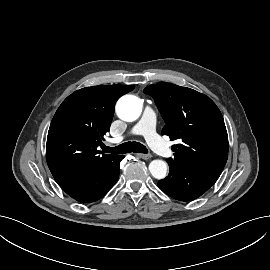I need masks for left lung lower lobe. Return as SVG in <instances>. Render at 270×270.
Segmentation results:
<instances>
[{"label": "left lung lower lobe", "mask_w": 270, "mask_h": 270, "mask_svg": "<svg viewBox=\"0 0 270 270\" xmlns=\"http://www.w3.org/2000/svg\"><path fill=\"white\" fill-rule=\"evenodd\" d=\"M169 175L158 182V186L169 196L181 201L198 198L219 178L218 175L198 168H187L168 163Z\"/></svg>", "instance_id": "0a47b994"}]
</instances>
